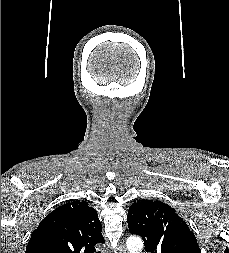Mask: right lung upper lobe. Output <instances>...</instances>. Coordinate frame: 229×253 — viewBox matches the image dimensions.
Here are the masks:
<instances>
[{"instance_id":"right-lung-upper-lobe-1","label":"right lung upper lobe","mask_w":229,"mask_h":253,"mask_svg":"<svg viewBox=\"0 0 229 253\" xmlns=\"http://www.w3.org/2000/svg\"><path fill=\"white\" fill-rule=\"evenodd\" d=\"M97 212L84 201L66 203L33 231L25 253H93L104 243Z\"/></svg>"}]
</instances>
